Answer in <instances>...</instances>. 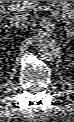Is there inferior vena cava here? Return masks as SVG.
I'll use <instances>...</instances> for the list:
<instances>
[{
	"label": "inferior vena cava",
	"instance_id": "inferior-vena-cava-1",
	"mask_svg": "<svg viewBox=\"0 0 74 122\" xmlns=\"http://www.w3.org/2000/svg\"><path fill=\"white\" fill-rule=\"evenodd\" d=\"M10 25L18 29H25L29 26L28 18L23 14H14L9 18Z\"/></svg>",
	"mask_w": 74,
	"mask_h": 122
}]
</instances>
